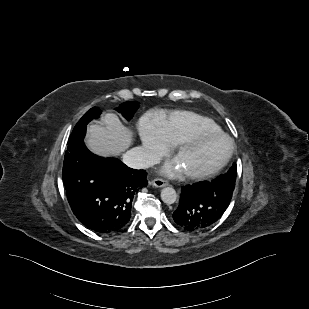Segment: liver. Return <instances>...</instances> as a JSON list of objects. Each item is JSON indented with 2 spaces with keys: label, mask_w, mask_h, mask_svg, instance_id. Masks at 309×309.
Wrapping results in <instances>:
<instances>
[{
  "label": "liver",
  "mask_w": 309,
  "mask_h": 309,
  "mask_svg": "<svg viewBox=\"0 0 309 309\" xmlns=\"http://www.w3.org/2000/svg\"><path fill=\"white\" fill-rule=\"evenodd\" d=\"M103 124H91L88 127L86 144L95 154L117 156L130 147L133 132L125 127L113 113L104 115Z\"/></svg>",
  "instance_id": "6515ba94"
}]
</instances>
